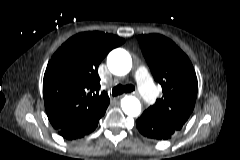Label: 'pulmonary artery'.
Listing matches in <instances>:
<instances>
[{
    "mask_svg": "<svg viewBox=\"0 0 240 160\" xmlns=\"http://www.w3.org/2000/svg\"><path fill=\"white\" fill-rule=\"evenodd\" d=\"M134 77L137 81L141 96L147 102L153 103L156 97V89L146 68H138L134 73Z\"/></svg>",
    "mask_w": 240,
    "mask_h": 160,
    "instance_id": "obj_1",
    "label": "pulmonary artery"
}]
</instances>
